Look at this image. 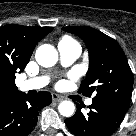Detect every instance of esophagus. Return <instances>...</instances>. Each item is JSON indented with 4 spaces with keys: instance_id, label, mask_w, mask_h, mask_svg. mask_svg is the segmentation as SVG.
I'll return each instance as SVG.
<instances>
[{
    "instance_id": "34e87169",
    "label": "esophagus",
    "mask_w": 136,
    "mask_h": 136,
    "mask_svg": "<svg viewBox=\"0 0 136 136\" xmlns=\"http://www.w3.org/2000/svg\"><path fill=\"white\" fill-rule=\"evenodd\" d=\"M52 99L54 102H60L63 100V97L59 96L58 94H52Z\"/></svg>"
}]
</instances>
